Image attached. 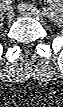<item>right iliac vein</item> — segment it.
<instances>
[{
    "mask_svg": "<svg viewBox=\"0 0 63 107\" xmlns=\"http://www.w3.org/2000/svg\"><path fill=\"white\" fill-rule=\"evenodd\" d=\"M7 18H8L9 20H12V19L14 18V12H13V10H12L11 8H9V9L7 10Z\"/></svg>",
    "mask_w": 63,
    "mask_h": 107,
    "instance_id": "63e3f726",
    "label": "right iliac vein"
}]
</instances>
